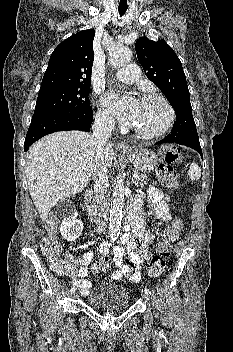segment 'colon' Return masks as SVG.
Listing matches in <instances>:
<instances>
[{
  "instance_id": "5ec220e1",
  "label": "colon",
  "mask_w": 233,
  "mask_h": 352,
  "mask_svg": "<svg viewBox=\"0 0 233 352\" xmlns=\"http://www.w3.org/2000/svg\"><path fill=\"white\" fill-rule=\"evenodd\" d=\"M161 162L157 167V177L159 181L170 188H178L177 176L173 165L181 162V153L178 147L173 145L163 146L160 150ZM184 228V221L177 217L168 225L162 235L161 240L156 245V253L152 257L148 267V274L154 278L159 276L169 257L172 244L175 242ZM47 235L40 240L42 253L51 262L52 269L58 274H65L68 266L65 261L59 259L60 246L56 241L57 222L54 218H49L46 222ZM112 262L108 254H103L93 265L92 271L99 273L102 270L111 268Z\"/></svg>"
}]
</instances>
